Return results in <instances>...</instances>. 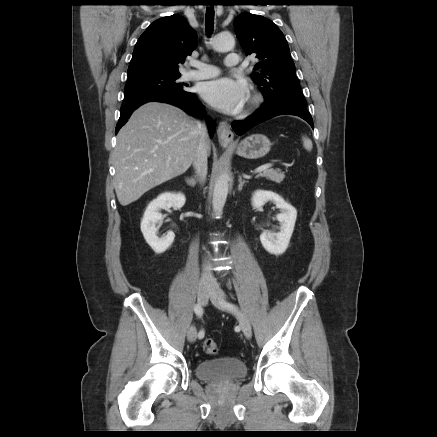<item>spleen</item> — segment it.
<instances>
[{
    "mask_svg": "<svg viewBox=\"0 0 437 437\" xmlns=\"http://www.w3.org/2000/svg\"><path fill=\"white\" fill-rule=\"evenodd\" d=\"M302 140L304 148L308 151H311L313 147L312 141L307 137H302Z\"/></svg>",
    "mask_w": 437,
    "mask_h": 437,
    "instance_id": "3e777b00",
    "label": "spleen"
}]
</instances>
